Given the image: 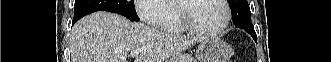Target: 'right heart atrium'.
<instances>
[{
    "label": "right heart atrium",
    "mask_w": 331,
    "mask_h": 62,
    "mask_svg": "<svg viewBox=\"0 0 331 62\" xmlns=\"http://www.w3.org/2000/svg\"><path fill=\"white\" fill-rule=\"evenodd\" d=\"M165 0H137L135 10L139 18L156 28H163L170 18Z\"/></svg>",
    "instance_id": "right-heart-atrium-1"
}]
</instances>
